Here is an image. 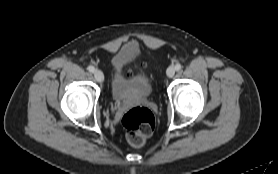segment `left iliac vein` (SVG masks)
Listing matches in <instances>:
<instances>
[{
  "mask_svg": "<svg viewBox=\"0 0 278 174\" xmlns=\"http://www.w3.org/2000/svg\"><path fill=\"white\" fill-rule=\"evenodd\" d=\"M166 74L169 78H172L175 74V68L174 67H169L167 70H166Z\"/></svg>",
  "mask_w": 278,
  "mask_h": 174,
  "instance_id": "obj_1",
  "label": "left iliac vein"
}]
</instances>
